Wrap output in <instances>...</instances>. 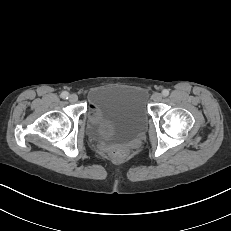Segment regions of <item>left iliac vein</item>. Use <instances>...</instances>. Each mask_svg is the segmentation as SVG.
I'll list each match as a JSON object with an SVG mask.
<instances>
[{
    "mask_svg": "<svg viewBox=\"0 0 231 231\" xmlns=\"http://www.w3.org/2000/svg\"><path fill=\"white\" fill-rule=\"evenodd\" d=\"M152 100L154 102H160L162 100V94L161 93H158V92H155L153 95H152Z\"/></svg>",
    "mask_w": 231,
    "mask_h": 231,
    "instance_id": "obj_1",
    "label": "left iliac vein"
}]
</instances>
